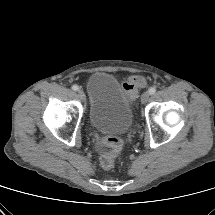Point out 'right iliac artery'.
Here are the masks:
<instances>
[{
    "label": "right iliac artery",
    "instance_id": "right-iliac-artery-1",
    "mask_svg": "<svg viewBox=\"0 0 215 215\" xmlns=\"http://www.w3.org/2000/svg\"><path fill=\"white\" fill-rule=\"evenodd\" d=\"M72 90L78 91V90H79V87H78L77 85H73V86H72Z\"/></svg>",
    "mask_w": 215,
    "mask_h": 215
}]
</instances>
